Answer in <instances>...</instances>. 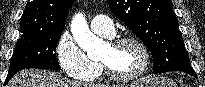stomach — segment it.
Returning a JSON list of instances; mask_svg holds the SVG:
<instances>
[{
    "mask_svg": "<svg viewBox=\"0 0 205 87\" xmlns=\"http://www.w3.org/2000/svg\"><path fill=\"white\" fill-rule=\"evenodd\" d=\"M127 87H176L173 81L166 78H142Z\"/></svg>",
    "mask_w": 205,
    "mask_h": 87,
    "instance_id": "stomach-1",
    "label": "stomach"
}]
</instances>
